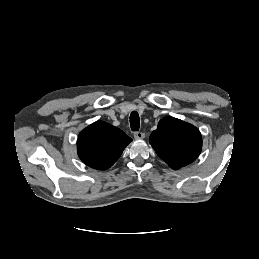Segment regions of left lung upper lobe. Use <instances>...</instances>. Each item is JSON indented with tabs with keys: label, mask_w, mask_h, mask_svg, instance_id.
Masks as SVG:
<instances>
[{
	"label": "left lung upper lobe",
	"mask_w": 259,
	"mask_h": 259,
	"mask_svg": "<svg viewBox=\"0 0 259 259\" xmlns=\"http://www.w3.org/2000/svg\"><path fill=\"white\" fill-rule=\"evenodd\" d=\"M150 144L172 169L192 163L200 154L202 137L193 125L173 117H165L150 135Z\"/></svg>",
	"instance_id": "5c2ea615"
}]
</instances>
